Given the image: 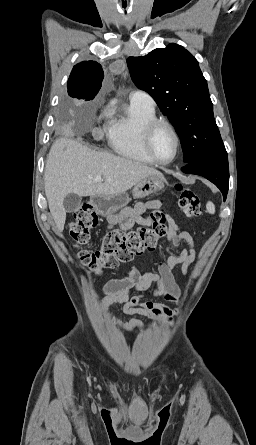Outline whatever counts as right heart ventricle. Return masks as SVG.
Wrapping results in <instances>:
<instances>
[{"instance_id":"obj_1","label":"right heart ventricle","mask_w":256,"mask_h":445,"mask_svg":"<svg viewBox=\"0 0 256 445\" xmlns=\"http://www.w3.org/2000/svg\"><path fill=\"white\" fill-rule=\"evenodd\" d=\"M156 118L155 108L130 103L125 115L108 123L107 138L110 147L125 158L153 164L143 146L142 130Z\"/></svg>"}]
</instances>
